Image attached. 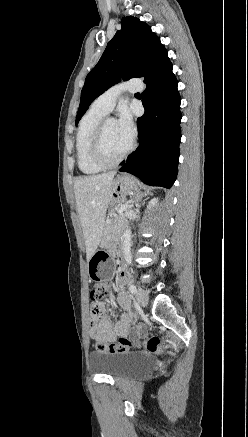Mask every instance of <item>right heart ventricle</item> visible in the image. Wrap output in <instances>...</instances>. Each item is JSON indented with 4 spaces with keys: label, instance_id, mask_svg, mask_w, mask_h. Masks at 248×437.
<instances>
[{
    "label": "right heart ventricle",
    "instance_id": "right-heart-ventricle-1",
    "mask_svg": "<svg viewBox=\"0 0 248 437\" xmlns=\"http://www.w3.org/2000/svg\"><path fill=\"white\" fill-rule=\"evenodd\" d=\"M105 115V112L90 107L79 122L76 135V155L78 168L83 174H97L103 169L93 161L90 147L96 127Z\"/></svg>",
    "mask_w": 248,
    "mask_h": 437
}]
</instances>
